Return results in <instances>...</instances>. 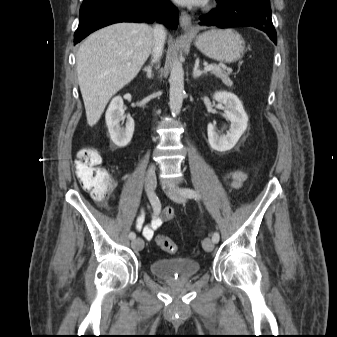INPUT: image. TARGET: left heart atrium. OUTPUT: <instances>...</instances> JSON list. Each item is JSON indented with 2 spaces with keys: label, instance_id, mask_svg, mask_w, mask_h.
I'll list each match as a JSON object with an SVG mask.
<instances>
[{
  "label": "left heart atrium",
  "instance_id": "1",
  "mask_svg": "<svg viewBox=\"0 0 337 337\" xmlns=\"http://www.w3.org/2000/svg\"><path fill=\"white\" fill-rule=\"evenodd\" d=\"M175 1L182 5L199 6L204 4L207 0H175Z\"/></svg>",
  "mask_w": 337,
  "mask_h": 337
}]
</instances>
